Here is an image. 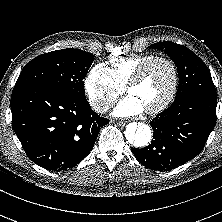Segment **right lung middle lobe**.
<instances>
[{"label": "right lung middle lobe", "mask_w": 222, "mask_h": 222, "mask_svg": "<svg viewBox=\"0 0 222 222\" xmlns=\"http://www.w3.org/2000/svg\"><path fill=\"white\" fill-rule=\"evenodd\" d=\"M93 61L91 53L78 49L42 54L23 68L15 87L44 86L85 97L83 79Z\"/></svg>", "instance_id": "1"}]
</instances>
